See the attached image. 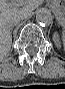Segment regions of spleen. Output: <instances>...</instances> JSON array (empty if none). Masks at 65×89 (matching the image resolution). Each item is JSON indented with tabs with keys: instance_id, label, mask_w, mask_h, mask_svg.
Instances as JSON below:
<instances>
[{
	"instance_id": "spleen-1",
	"label": "spleen",
	"mask_w": 65,
	"mask_h": 89,
	"mask_svg": "<svg viewBox=\"0 0 65 89\" xmlns=\"http://www.w3.org/2000/svg\"><path fill=\"white\" fill-rule=\"evenodd\" d=\"M62 41L64 42V36L62 37Z\"/></svg>"
}]
</instances>
